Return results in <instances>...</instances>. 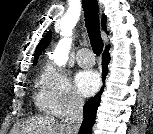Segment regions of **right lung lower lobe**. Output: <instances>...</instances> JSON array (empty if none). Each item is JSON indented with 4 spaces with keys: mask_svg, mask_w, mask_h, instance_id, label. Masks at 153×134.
<instances>
[{
    "mask_svg": "<svg viewBox=\"0 0 153 134\" xmlns=\"http://www.w3.org/2000/svg\"><path fill=\"white\" fill-rule=\"evenodd\" d=\"M109 60H110L109 47H107L106 50L104 51L103 60H102L103 80L105 79V76L108 71L107 66H108ZM102 91H103V88L100 90V92L95 97L90 98L86 102L84 106V119L80 127L79 134H91L92 127L96 119V112L100 104V98H101Z\"/></svg>",
    "mask_w": 153,
    "mask_h": 134,
    "instance_id": "98d812e1",
    "label": "right lung lower lobe"
}]
</instances>
